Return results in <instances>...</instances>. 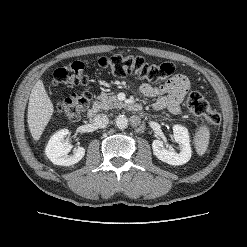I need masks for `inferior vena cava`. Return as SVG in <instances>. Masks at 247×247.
<instances>
[{
  "mask_svg": "<svg viewBox=\"0 0 247 247\" xmlns=\"http://www.w3.org/2000/svg\"><path fill=\"white\" fill-rule=\"evenodd\" d=\"M109 123V118L105 114H98L94 118V124L98 128H105Z\"/></svg>",
  "mask_w": 247,
  "mask_h": 247,
  "instance_id": "1",
  "label": "inferior vena cava"
}]
</instances>
